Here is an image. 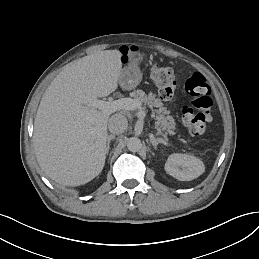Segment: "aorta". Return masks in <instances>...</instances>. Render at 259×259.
Here are the masks:
<instances>
[{"label":"aorta","instance_id":"obj_1","mask_svg":"<svg viewBox=\"0 0 259 259\" xmlns=\"http://www.w3.org/2000/svg\"><path fill=\"white\" fill-rule=\"evenodd\" d=\"M127 148L131 152H138L142 148V142L138 137H130L127 140Z\"/></svg>","mask_w":259,"mask_h":259}]
</instances>
